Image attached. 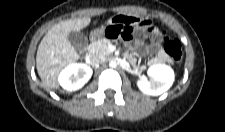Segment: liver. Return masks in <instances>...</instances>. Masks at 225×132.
I'll use <instances>...</instances> for the list:
<instances>
[{"instance_id":"6515ba94","label":"liver","mask_w":225,"mask_h":132,"mask_svg":"<svg viewBox=\"0 0 225 132\" xmlns=\"http://www.w3.org/2000/svg\"><path fill=\"white\" fill-rule=\"evenodd\" d=\"M90 17L61 21L41 40L36 54V68L48 89H58L60 71L78 60L76 49L68 40L70 31H80L90 23Z\"/></svg>"}]
</instances>
